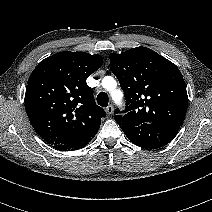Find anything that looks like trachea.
<instances>
[{
    "mask_svg": "<svg viewBox=\"0 0 212 212\" xmlns=\"http://www.w3.org/2000/svg\"><path fill=\"white\" fill-rule=\"evenodd\" d=\"M108 102V95L105 92H100L97 96V103L102 107H107Z\"/></svg>",
    "mask_w": 212,
    "mask_h": 212,
    "instance_id": "3493384b",
    "label": "trachea"
}]
</instances>
